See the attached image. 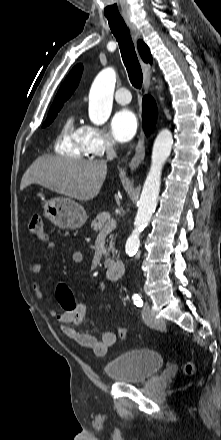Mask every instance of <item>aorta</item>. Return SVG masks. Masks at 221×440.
Returning <instances> with one entry per match:
<instances>
[{"instance_id":"762f6f07","label":"aorta","mask_w":221,"mask_h":440,"mask_svg":"<svg viewBox=\"0 0 221 440\" xmlns=\"http://www.w3.org/2000/svg\"><path fill=\"white\" fill-rule=\"evenodd\" d=\"M116 83V73L112 68L102 70L95 78L89 94V118L96 125L104 124L110 117L113 104V94ZM173 145L172 133L162 129L153 145L151 167L144 183L135 217L132 234L126 241V253L131 255L140 245L139 235L147 226L156 208L160 191L161 172L168 159Z\"/></svg>"}]
</instances>
